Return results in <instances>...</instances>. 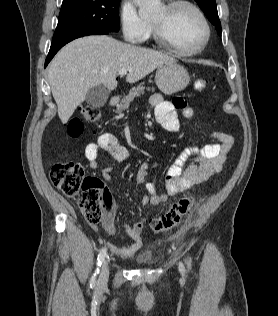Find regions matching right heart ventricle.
<instances>
[{
    "instance_id": "1",
    "label": "right heart ventricle",
    "mask_w": 278,
    "mask_h": 316,
    "mask_svg": "<svg viewBox=\"0 0 278 316\" xmlns=\"http://www.w3.org/2000/svg\"><path fill=\"white\" fill-rule=\"evenodd\" d=\"M151 33H152V28H151V25L149 24V30H148L147 37H149V36L151 35ZM147 37H146V38H147Z\"/></svg>"
}]
</instances>
